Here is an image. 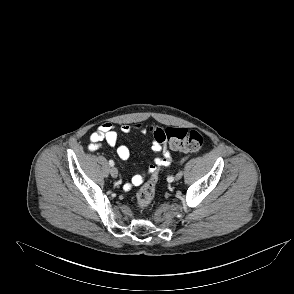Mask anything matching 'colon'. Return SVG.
I'll return each mask as SVG.
<instances>
[{"label": "colon", "mask_w": 294, "mask_h": 294, "mask_svg": "<svg viewBox=\"0 0 294 294\" xmlns=\"http://www.w3.org/2000/svg\"><path fill=\"white\" fill-rule=\"evenodd\" d=\"M153 136L158 142L169 144L172 149L186 152H197L204 144V138L198 131L186 128H154ZM157 175L158 172L153 173L137 192V204L141 210L148 208L153 201Z\"/></svg>", "instance_id": "1"}]
</instances>
